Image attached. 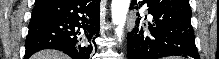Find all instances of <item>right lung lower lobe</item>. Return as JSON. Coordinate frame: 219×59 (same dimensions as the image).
<instances>
[{
  "instance_id": "obj_1",
  "label": "right lung lower lobe",
  "mask_w": 219,
  "mask_h": 59,
  "mask_svg": "<svg viewBox=\"0 0 219 59\" xmlns=\"http://www.w3.org/2000/svg\"><path fill=\"white\" fill-rule=\"evenodd\" d=\"M25 42V56L57 49L73 59H89L100 29V0H42L35 2Z\"/></svg>"
}]
</instances>
